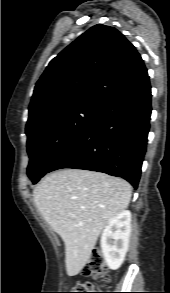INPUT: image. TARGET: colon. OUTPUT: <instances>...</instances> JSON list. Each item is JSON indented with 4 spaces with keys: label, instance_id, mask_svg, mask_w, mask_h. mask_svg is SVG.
<instances>
[{
    "label": "colon",
    "instance_id": "obj_1",
    "mask_svg": "<svg viewBox=\"0 0 170 293\" xmlns=\"http://www.w3.org/2000/svg\"><path fill=\"white\" fill-rule=\"evenodd\" d=\"M83 275L94 281H102L108 283L110 281V276L106 272L104 267V259L102 251L100 248H95L86 264ZM72 293H99V292H89L93 291V287L89 283H78L73 287Z\"/></svg>",
    "mask_w": 170,
    "mask_h": 293
}]
</instances>
